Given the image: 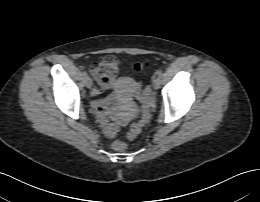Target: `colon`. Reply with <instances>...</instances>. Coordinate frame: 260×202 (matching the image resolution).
<instances>
[{"instance_id": "colon-1", "label": "colon", "mask_w": 260, "mask_h": 202, "mask_svg": "<svg viewBox=\"0 0 260 202\" xmlns=\"http://www.w3.org/2000/svg\"><path fill=\"white\" fill-rule=\"evenodd\" d=\"M142 68V65H137L136 70ZM118 71V61L114 56H107L100 62L94 63L90 67L91 74L96 78L99 83H108L113 81ZM136 100L143 106L144 108V118L141 122L134 123L129 132L127 133V139H134L141 131L143 123L149 116V107L148 102L145 99V96L142 92L141 85L137 86L136 90ZM112 148L116 152H124L128 149L127 143L121 140H116L112 143Z\"/></svg>"}]
</instances>
